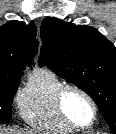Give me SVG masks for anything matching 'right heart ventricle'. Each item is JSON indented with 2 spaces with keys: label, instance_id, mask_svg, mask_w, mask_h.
I'll use <instances>...</instances> for the list:
<instances>
[{
  "label": "right heart ventricle",
  "instance_id": "obj_1",
  "mask_svg": "<svg viewBox=\"0 0 116 134\" xmlns=\"http://www.w3.org/2000/svg\"><path fill=\"white\" fill-rule=\"evenodd\" d=\"M63 82L48 69H36L17 98L21 118L28 125L45 131L69 133L75 129L58 115L55 96Z\"/></svg>",
  "mask_w": 116,
  "mask_h": 134
}]
</instances>
